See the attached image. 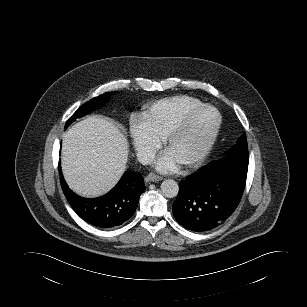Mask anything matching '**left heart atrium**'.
<instances>
[{"label":"left heart atrium","mask_w":307,"mask_h":307,"mask_svg":"<svg viewBox=\"0 0 307 307\" xmlns=\"http://www.w3.org/2000/svg\"><path fill=\"white\" fill-rule=\"evenodd\" d=\"M178 164L179 162L167 152L157 161V169L162 172L173 171Z\"/></svg>","instance_id":"1"}]
</instances>
